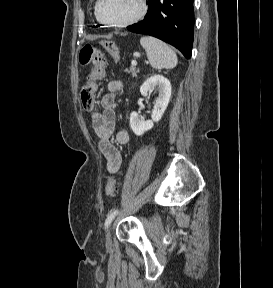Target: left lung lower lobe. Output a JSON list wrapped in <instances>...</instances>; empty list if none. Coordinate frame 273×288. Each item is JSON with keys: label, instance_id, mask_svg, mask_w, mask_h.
<instances>
[{"label": "left lung lower lobe", "instance_id": "left-lung-lower-lobe-1", "mask_svg": "<svg viewBox=\"0 0 273 288\" xmlns=\"http://www.w3.org/2000/svg\"><path fill=\"white\" fill-rule=\"evenodd\" d=\"M145 18L129 31L157 37L179 49L189 59L194 35L193 0H148Z\"/></svg>", "mask_w": 273, "mask_h": 288}]
</instances>
